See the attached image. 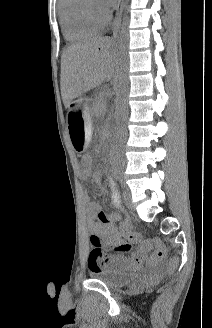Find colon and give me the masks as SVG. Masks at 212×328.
<instances>
[{
	"label": "colon",
	"mask_w": 212,
	"mask_h": 328,
	"mask_svg": "<svg viewBox=\"0 0 212 328\" xmlns=\"http://www.w3.org/2000/svg\"><path fill=\"white\" fill-rule=\"evenodd\" d=\"M93 157L90 153H81L79 156V163L81 170H92L93 169ZM128 239L130 242L137 245V251L141 250H149L153 249V253L148 258V263L150 265H154L160 261H163L166 257L167 250L164 245V243L159 239H148L145 238L141 233L138 232H130L128 235ZM91 244L93 246V249L90 252L88 264L92 265L94 263H99L102 266L108 265V260L105 258L104 254L102 253L100 249V238L93 234L90 238ZM132 245L127 242H123L118 244L115 247V251L119 253H127L131 251ZM178 259L177 258H171L166 263V270L168 272H174L178 268Z\"/></svg>",
	"instance_id": "5ec220e1"
}]
</instances>
